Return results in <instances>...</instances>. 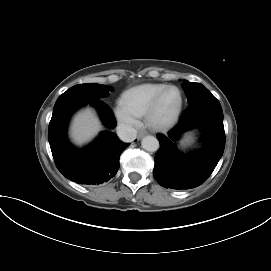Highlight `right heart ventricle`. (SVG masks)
Here are the masks:
<instances>
[{
    "instance_id": "obj_1",
    "label": "right heart ventricle",
    "mask_w": 271,
    "mask_h": 271,
    "mask_svg": "<svg viewBox=\"0 0 271 271\" xmlns=\"http://www.w3.org/2000/svg\"><path fill=\"white\" fill-rule=\"evenodd\" d=\"M165 84L146 83L134 86L123 92L120 104L136 118L144 117L155 96Z\"/></svg>"
}]
</instances>
